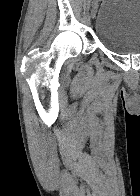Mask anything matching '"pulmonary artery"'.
I'll return each instance as SVG.
<instances>
[{"mask_svg": "<svg viewBox=\"0 0 140 196\" xmlns=\"http://www.w3.org/2000/svg\"><path fill=\"white\" fill-rule=\"evenodd\" d=\"M59 192H81V191H59Z\"/></svg>", "mask_w": 140, "mask_h": 196, "instance_id": "1", "label": "pulmonary artery"}]
</instances>
